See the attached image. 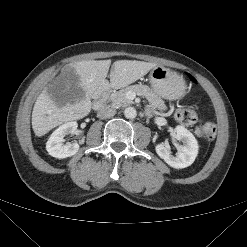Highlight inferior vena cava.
I'll return each mask as SVG.
<instances>
[{
	"label": "inferior vena cava",
	"instance_id": "1",
	"mask_svg": "<svg viewBox=\"0 0 247 247\" xmlns=\"http://www.w3.org/2000/svg\"><path fill=\"white\" fill-rule=\"evenodd\" d=\"M116 114V109L112 108V107H104L101 108L98 113L97 116L100 119H106V118H110L113 117Z\"/></svg>",
	"mask_w": 247,
	"mask_h": 247
}]
</instances>
